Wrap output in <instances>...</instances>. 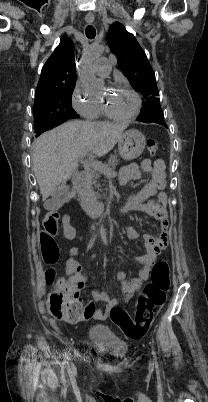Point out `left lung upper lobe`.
<instances>
[{
  "instance_id": "obj_1",
  "label": "left lung upper lobe",
  "mask_w": 208,
  "mask_h": 402,
  "mask_svg": "<svg viewBox=\"0 0 208 402\" xmlns=\"http://www.w3.org/2000/svg\"><path fill=\"white\" fill-rule=\"evenodd\" d=\"M107 40L112 53L117 57L121 71L133 88L141 92L146 100L144 110L137 120L166 126L158 98L155 74L134 35L127 32L121 23L115 22L108 31Z\"/></svg>"
}]
</instances>
